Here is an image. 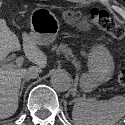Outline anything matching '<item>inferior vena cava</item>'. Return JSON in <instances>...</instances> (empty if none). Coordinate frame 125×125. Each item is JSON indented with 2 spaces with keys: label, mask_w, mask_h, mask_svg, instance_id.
Here are the masks:
<instances>
[{
  "label": "inferior vena cava",
  "mask_w": 125,
  "mask_h": 125,
  "mask_svg": "<svg viewBox=\"0 0 125 125\" xmlns=\"http://www.w3.org/2000/svg\"><path fill=\"white\" fill-rule=\"evenodd\" d=\"M39 76L37 71H28L26 72L22 78H24L25 80H29V79H35Z\"/></svg>",
  "instance_id": "obj_1"
}]
</instances>
